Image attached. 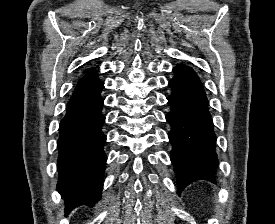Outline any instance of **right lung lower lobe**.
<instances>
[{
    "label": "right lung lower lobe",
    "instance_id": "obj_1",
    "mask_svg": "<svg viewBox=\"0 0 275 224\" xmlns=\"http://www.w3.org/2000/svg\"><path fill=\"white\" fill-rule=\"evenodd\" d=\"M104 83L97 73L85 75L77 84L60 122L57 188L66 210L80 205L94 206L101 198L107 157L106 136L102 131Z\"/></svg>",
    "mask_w": 275,
    "mask_h": 224
}]
</instances>
